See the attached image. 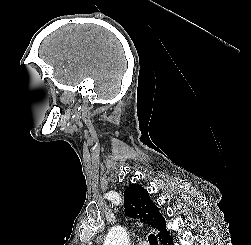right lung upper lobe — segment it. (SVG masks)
Returning <instances> with one entry per match:
<instances>
[{
    "mask_svg": "<svg viewBox=\"0 0 251 245\" xmlns=\"http://www.w3.org/2000/svg\"><path fill=\"white\" fill-rule=\"evenodd\" d=\"M124 205L128 217L140 218L147 225L157 229L159 239L169 234L163 216L143 187L136 184L127 187L124 192Z\"/></svg>",
    "mask_w": 251,
    "mask_h": 245,
    "instance_id": "obj_1",
    "label": "right lung upper lobe"
}]
</instances>
